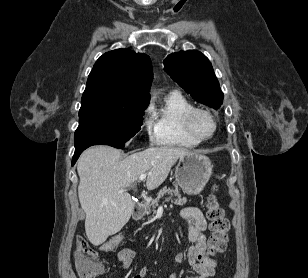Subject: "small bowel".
Masks as SVG:
<instances>
[{
    "mask_svg": "<svg viewBox=\"0 0 308 278\" xmlns=\"http://www.w3.org/2000/svg\"><path fill=\"white\" fill-rule=\"evenodd\" d=\"M182 220L187 225V239L190 246L186 251L188 265L194 272L193 276L187 278H211L215 274L217 260L206 256L207 250V236L205 231L207 229V220L202 211L196 207H185L180 211ZM136 251L131 248H123L118 251L117 258L122 264L124 270H128ZM183 254L178 253L175 260L178 263L183 261ZM104 272V271H103ZM148 273L147 267H142L131 278H145ZM169 278H178L177 273H173Z\"/></svg>",
    "mask_w": 308,
    "mask_h": 278,
    "instance_id": "1",
    "label": "small bowel"
}]
</instances>
